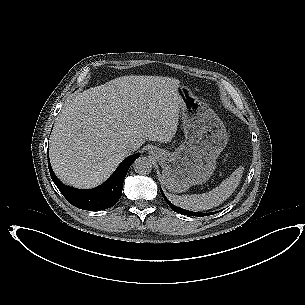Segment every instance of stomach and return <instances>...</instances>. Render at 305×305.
Here are the masks:
<instances>
[{
    "label": "stomach",
    "instance_id": "1",
    "mask_svg": "<svg viewBox=\"0 0 305 305\" xmlns=\"http://www.w3.org/2000/svg\"><path fill=\"white\" fill-rule=\"evenodd\" d=\"M174 95L181 107L185 140L172 153L155 148L154 156L163 169L165 187L182 193L211 177L216 159L227 144V133L216 113L187 86H177Z\"/></svg>",
    "mask_w": 305,
    "mask_h": 305
}]
</instances>
